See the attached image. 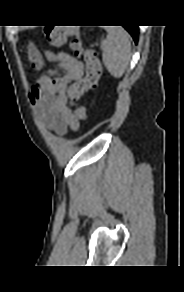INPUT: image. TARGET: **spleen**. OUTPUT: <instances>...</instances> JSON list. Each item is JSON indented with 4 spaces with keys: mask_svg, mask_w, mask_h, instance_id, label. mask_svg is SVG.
Returning a JSON list of instances; mask_svg holds the SVG:
<instances>
[{
    "mask_svg": "<svg viewBox=\"0 0 184 292\" xmlns=\"http://www.w3.org/2000/svg\"><path fill=\"white\" fill-rule=\"evenodd\" d=\"M106 31L107 36L101 41L102 60L109 73L120 78L131 58L130 37L122 28L110 27Z\"/></svg>",
    "mask_w": 184,
    "mask_h": 292,
    "instance_id": "spleen-1",
    "label": "spleen"
}]
</instances>
